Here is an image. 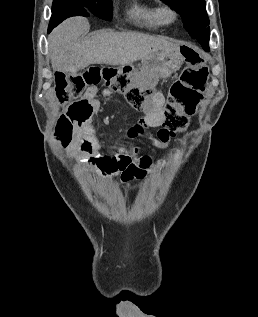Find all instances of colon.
<instances>
[{
  "instance_id": "colon-1",
  "label": "colon",
  "mask_w": 258,
  "mask_h": 317,
  "mask_svg": "<svg viewBox=\"0 0 258 317\" xmlns=\"http://www.w3.org/2000/svg\"><path fill=\"white\" fill-rule=\"evenodd\" d=\"M188 66L172 84L164 106L162 128L170 136L184 130L188 118L200 102L208 79L206 57L196 48H183ZM99 84L114 87L123 93L133 106L152 111L156 108V97L152 89L140 83L130 70H120L111 66H87L80 72L58 74L55 80V93L60 104L71 100L67 109L57 120L55 135L63 145L70 144L75 134V118L68 108L79 100L90 87Z\"/></svg>"
}]
</instances>
